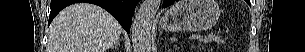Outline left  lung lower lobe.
Masks as SVG:
<instances>
[{
  "label": "left lung lower lobe",
  "instance_id": "0a47b994",
  "mask_svg": "<svg viewBox=\"0 0 305 52\" xmlns=\"http://www.w3.org/2000/svg\"><path fill=\"white\" fill-rule=\"evenodd\" d=\"M174 2H175V0H164L163 6L164 7L170 6Z\"/></svg>",
  "mask_w": 305,
  "mask_h": 52
}]
</instances>
